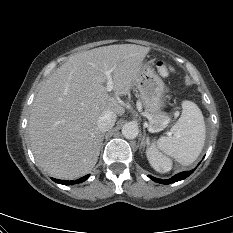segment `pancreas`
<instances>
[{"mask_svg": "<svg viewBox=\"0 0 233 233\" xmlns=\"http://www.w3.org/2000/svg\"><path fill=\"white\" fill-rule=\"evenodd\" d=\"M149 117V124L154 127H158L165 122L167 116L163 113L151 114L147 111Z\"/></svg>", "mask_w": 233, "mask_h": 233, "instance_id": "obj_1", "label": "pancreas"}]
</instances>
